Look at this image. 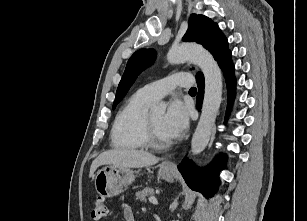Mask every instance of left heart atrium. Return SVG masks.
Listing matches in <instances>:
<instances>
[{
    "label": "left heart atrium",
    "instance_id": "obj_1",
    "mask_svg": "<svg viewBox=\"0 0 307 221\" xmlns=\"http://www.w3.org/2000/svg\"><path fill=\"white\" fill-rule=\"evenodd\" d=\"M189 123V110L178 99L173 100L164 116L163 128L169 139L180 136Z\"/></svg>",
    "mask_w": 307,
    "mask_h": 221
}]
</instances>
